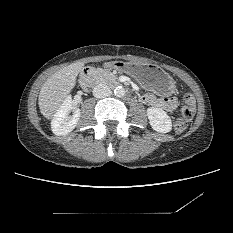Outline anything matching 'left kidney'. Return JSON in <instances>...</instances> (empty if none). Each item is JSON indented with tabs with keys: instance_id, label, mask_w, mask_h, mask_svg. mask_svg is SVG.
Here are the masks:
<instances>
[{
	"instance_id": "left-kidney-1",
	"label": "left kidney",
	"mask_w": 233,
	"mask_h": 233,
	"mask_svg": "<svg viewBox=\"0 0 233 233\" xmlns=\"http://www.w3.org/2000/svg\"><path fill=\"white\" fill-rule=\"evenodd\" d=\"M147 116L151 127L160 133H168L172 129V122L167 113L160 109L150 107L147 109Z\"/></svg>"
}]
</instances>
